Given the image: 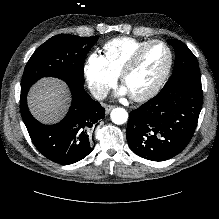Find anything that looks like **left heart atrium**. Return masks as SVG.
<instances>
[{
	"label": "left heart atrium",
	"instance_id": "obj_1",
	"mask_svg": "<svg viewBox=\"0 0 219 219\" xmlns=\"http://www.w3.org/2000/svg\"><path fill=\"white\" fill-rule=\"evenodd\" d=\"M120 93L126 94V93H128V92H127V90L125 89V87H123V88L120 89Z\"/></svg>",
	"mask_w": 219,
	"mask_h": 219
}]
</instances>
